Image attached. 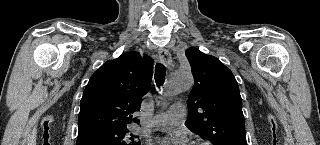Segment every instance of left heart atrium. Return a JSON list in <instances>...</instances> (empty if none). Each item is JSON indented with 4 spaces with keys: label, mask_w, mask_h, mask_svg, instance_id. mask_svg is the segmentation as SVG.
I'll use <instances>...</instances> for the list:
<instances>
[{
    "label": "left heart atrium",
    "mask_w": 320,
    "mask_h": 145,
    "mask_svg": "<svg viewBox=\"0 0 320 145\" xmlns=\"http://www.w3.org/2000/svg\"><path fill=\"white\" fill-rule=\"evenodd\" d=\"M178 80V79H177ZM170 142H176V143H184V139L181 137H175V138H171V139H163L161 141L162 145H165L166 143H170Z\"/></svg>",
    "instance_id": "left-heart-atrium-1"
}]
</instances>
